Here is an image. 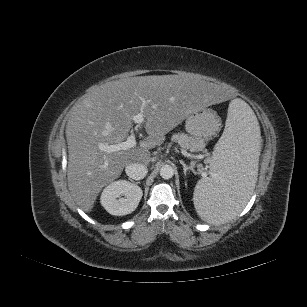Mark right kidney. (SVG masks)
Masks as SVG:
<instances>
[{"label":"right kidney","instance_id":"right-kidney-1","mask_svg":"<svg viewBox=\"0 0 307 307\" xmlns=\"http://www.w3.org/2000/svg\"><path fill=\"white\" fill-rule=\"evenodd\" d=\"M142 195V189L138 185L126 180H118L105 187L100 200L108 213L123 216L137 208Z\"/></svg>","mask_w":307,"mask_h":307}]
</instances>
